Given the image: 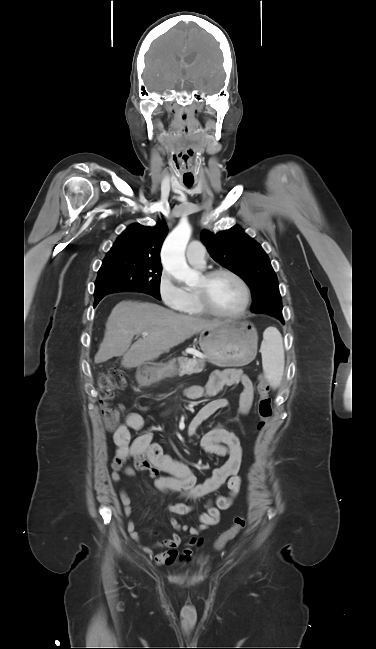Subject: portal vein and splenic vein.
I'll return each mask as SVG.
<instances>
[{"label": "portal vein and splenic vein", "mask_w": 376, "mask_h": 649, "mask_svg": "<svg viewBox=\"0 0 376 649\" xmlns=\"http://www.w3.org/2000/svg\"><path fill=\"white\" fill-rule=\"evenodd\" d=\"M142 335H143V336H147V335H148V333H147V332H144V333H142Z\"/></svg>", "instance_id": "portal-vein-and-splenic-vein-1"}]
</instances>
